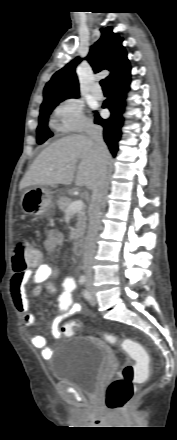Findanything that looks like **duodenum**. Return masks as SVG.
<instances>
[{
  "label": "duodenum",
  "mask_w": 177,
  "mask_h": 440,
  "mask_svg": "<svg viewBox=\"0 0 177 440\" xmlns=\"http://www.w3.org/2000/svg\"><path fill=\"white\" fill-rule=\"evenodd\" d=\"M73 251L76 255H82L84 251V244L81 239H78L73 244Z\"/></svg>",
  "instance_id": "duodenum-1"
}]
</instances>
